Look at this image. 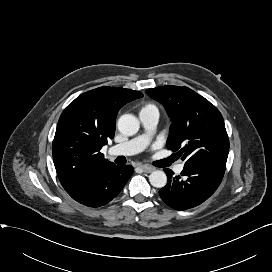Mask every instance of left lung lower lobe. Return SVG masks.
<instances>
[{
  "label": "left lung lower lobe",
  "instance_id": "left-lung-lower-lobe-1",
  "mask_svg": "<svg viewBox=\"0 0 272 272\" xmlns=\"http://www.w3.org/2000/svg\"><path fill=\"white\" fill-rule=\"evenodd\" d=\"M225 167L209 163L184 165L181 175L175 177L170 169H164L168 182L159 194L168 206L177 210L198 206L218 188Z\"/></svg>",
  "mask_w": 272,
  "mask_h": 272
}]
</instances>
